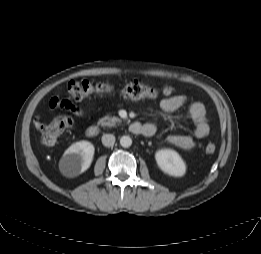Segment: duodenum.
Listing matches in <instances>:
<instances>
[{
  "instance_id": "duodenum-1",
  "label": "duodenum",
  "mask_w": 261,
  "mask_h": 254,
  "mask_svg": "<svg viewBox=\"0 0 261 254\" xmlns=\"http://www.w3.org/2000/svg\"><path fill=\"white\" fill-rule=\"evenodd\" d=\"M130 130H131V132H133L135 134H142V135L148 134V129L146 127H144L143 125H141L139 122H133L130 125ZM99 132H100V129L96 125H91V126L87 127L85 130V134L89 138H94V137L98 136Z\"/></svg>"
}]
</instances>
